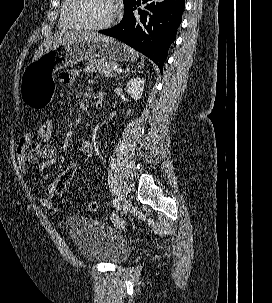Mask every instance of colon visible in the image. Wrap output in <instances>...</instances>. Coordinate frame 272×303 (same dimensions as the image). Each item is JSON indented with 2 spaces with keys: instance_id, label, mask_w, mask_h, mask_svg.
Segmentation results:
<instances>
[{
  "instance_id": "5ec220e1",
  "label": "colon",
  "mask_w": 272,
  "mask_h": 303,
  "mask_svg": "<svg viewBox=\"0 0 272 303\" xmlns=\"http://www.w3.org/2000/svg\"><path fill=\"white\" fill-rule=\"evenodd\" d=\"M56 131V121L53 116L45 117L38 126L37 137L38 141L45 145H51L54 140ZM79 170V162L73 159L69 162L64 170L59 174L53 182L56 195H62L66 192L69 184L74 179V176ZM87 208L90 212H94L98 208L96 201L88 202Z\"/></svg>"
}]
</instances>
